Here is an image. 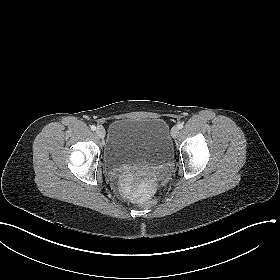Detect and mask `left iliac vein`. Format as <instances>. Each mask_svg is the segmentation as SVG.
Returning a JSON list of instances; mask_svg holds the SVG:
<instances>
[{"label":"left iliac vein","instance_id":"left-iliac-vein-1","mask_svg":"<svg viewBox=\"0 0 280 280\" xmlns=\"http://www.w3.org/2000/svg\"><path fill=\"white\" fill-rule=\"evenodd\" d=\"M178 135H179V128H178V126H174V127L171 129V136H172L173 138H176Z\"/></svg>","mask_w":280,"mask_h":280}]
</instances>
